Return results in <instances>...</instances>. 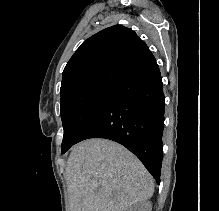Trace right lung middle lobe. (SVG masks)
I'll return each instance as SVG.
<instances>
[{"instance_id":"dd1d6c3e","label":"right lung middle lobe","mask_w":219,"mask_h":211,"mask_svg":"<svg viewBox=\"0 0 219 211\" xmlns=\"http://www.w3.org/2000/svg\"><path fill=\"white\" fill-rule=\"evenodd\" d=\"M116 85L97 84L61 100L62 153L73 144Z\"/></svg>"}]
</instances>
